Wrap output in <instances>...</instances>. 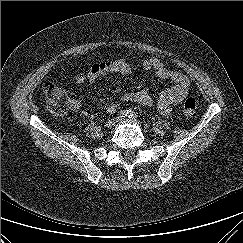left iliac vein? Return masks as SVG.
Wrapping results in <instances>:
<instances>
[{
  "label": "left iliac vein",
  "instance_id": "left-iliac-vein-1",
  "mask_svg": "<svg viewBox=\"0 0 243 243\" xmlns=\"http://www.w3.org/2000/svg\"><path fill=\"white\" fill-rule=\"evenodd\" d=\"M119 122H122V121H128L127 119H121V120H117Z\"/></svg>",
  "mask_w": 243,
  "mask_h": 243
}]
</instances>
